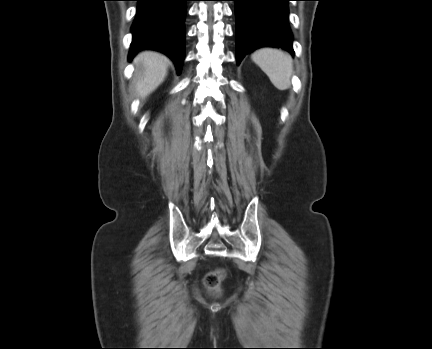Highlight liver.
Wrapping results in <instances>:
<instances>
[{
    "mask_svg": "<svg viewBox=\"0 0 432 349\" xmlns=\"http://www.w3.org/2000/svg\"><path fill=\"white\" fill-rule=\"evenodd\" d=\"M168 64L167 57L153 51H144L135 57L134 81L140 97H146L164 81Z\"/></svg>",
    "mask_w": 432,
    "mask_h": 349,
    "instance_id": "1",
    "label": "liver"
}]
</instances>
